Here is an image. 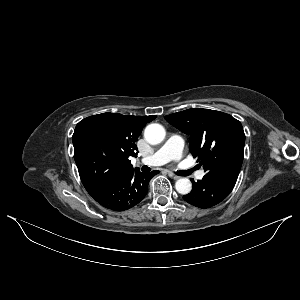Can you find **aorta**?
I'll use <instances>...</instances> for the list:
<instances>
[{
	"instance_id": "aorta-1",
	"label": "aorta",
	"mask_w": 300,
	"mask_h": 300,
	"mask_svg": "<svg viewBox=\"0 0 300 300\" xmlns=\"http://www.w3.org/2000/svg\"><path fill=\"white\" fill-rule=\"evenodd\" d=\"M165 135V129L160 124H150L144 131V137L151 145H157L161 143L164 140ZM175 188L178 193L186 195L191 192L192 183L187 178H180L176 181Z\"/></svg>"
}]
</instances>
